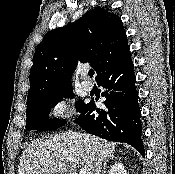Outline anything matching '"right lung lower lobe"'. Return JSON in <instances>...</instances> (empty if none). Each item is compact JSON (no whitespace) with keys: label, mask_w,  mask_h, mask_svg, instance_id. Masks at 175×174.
Listing matches in <instances>:
<instances>
[{"label":"right lung lower lobe","mask_w":175,"mask_h":174,"mask_svg":"<svg viewBox=\"0 0 175 174\" xmlns=\"http://www.w3.org/2000/svg\"><path fill=\"white\" fill-rule=\"evenodd\" d=\"M135 74L130 53L107 67L97 78L105 88V108H96L91 101L85 105L75 123L87 133L104 139L132 145L143 156L141 111L135 87Z\"/></svg>","instance_id":"1"}]
</instances>
